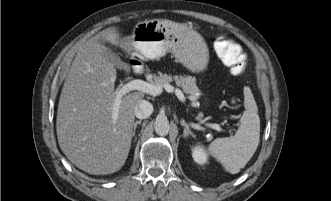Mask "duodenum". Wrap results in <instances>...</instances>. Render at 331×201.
Listing matches in <instances>:
<instances>
[{
	"label": "duodenum",
	"mask_w": 331,
	"mask_h": 201,
	"mask_svg": "<svg viewBox=\"0 0 331 201\" xmlns=\"http://www.w3.org/2000/svg\"><path fill=\"white\" fill-rule=\"evenodd\" d=\"M133 64H134V71L135 73L137 74H141L143 72V65L138 62V61H133Z\"/></svg>",
	"instance_id": "410a0bca"
}]
</instances>
